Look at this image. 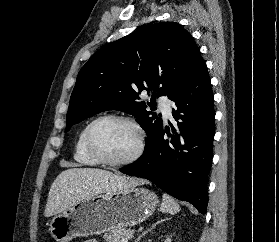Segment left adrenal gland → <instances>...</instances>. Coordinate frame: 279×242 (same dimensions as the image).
Segmentation results:
<instances>
[{
  "label": "left adrenal gland",
  "mask_w": 279,
  "mask_h": 242,
  "mask_svg": "<svg viewBox=\"0 0 279 242\" xmlns=\"http://www.w3.org/2000/svg\"><path fill=\"white\" fill-rule=\"evenodd\" d=\"M166 220H168V219H162V220L157 221L156 223H154L149 229H147V230L144 231L141 235H139V237L135 240V242H139L140 239H141L145 234H147L149 231H151L153 228H155L156 225H158V224H160V223H162L163 221H166Z\"/></svg>",
  "instance_id": "1"
}]
</instances>
